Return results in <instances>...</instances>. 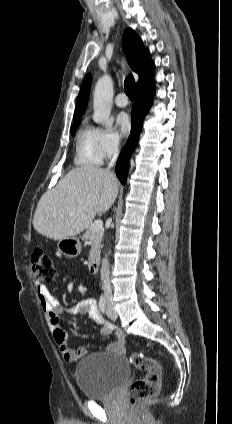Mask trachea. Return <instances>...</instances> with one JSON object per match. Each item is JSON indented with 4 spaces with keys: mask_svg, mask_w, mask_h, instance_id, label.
I'll return each instance as SVG.
<instances>
[{
    "mask_svg": "<svg viewBox=\"0 0 232 424\" xmlns=\"http://www.w3.org/2000/svg\"><path fill=\"white\" fill-rule=\"evenodd\" d=\"M124 90L126 95L130 98H134V91H135V80L132 76H129L126 78L124 83Z\"/></svg>",
    "mask_w": 232,
    "mask_h": 424,
    "instance_id": "obj_1",
    "label": "trachea"
}]
</instances>
